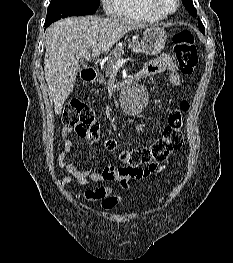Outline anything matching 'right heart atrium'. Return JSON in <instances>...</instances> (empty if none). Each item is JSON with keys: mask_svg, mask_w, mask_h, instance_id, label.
I'll list each match as a JSON object with an SVG mask.
<instances>
[{"mask_svg": "<svg viewBox=\"0 0 233 263\" xmlns=\"http://www.w3.org/2000/svg\"><path fill=\"white\" fill-rule=\"evenodd\" d=\"M102 4H103V7L104 9L107 11V12H114V3H115V0H101Z\"/></svg>", "mask_w": 233, "mask_h": 263, "instance_id": "d8ad5b80", "label": "right heart atrium"}]
</instances>
